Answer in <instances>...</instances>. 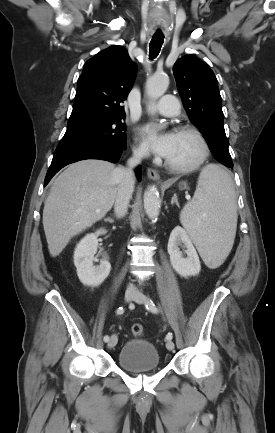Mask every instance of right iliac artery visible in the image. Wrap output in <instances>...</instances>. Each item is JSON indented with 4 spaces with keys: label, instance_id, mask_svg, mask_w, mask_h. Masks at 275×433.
Wrapping results in <instances>:
<instances>
[{
    "label": "right iliac artery",
    "instance_id": "82829eb1",
    "mask_svg": "<svg viewBox=\"0 0 275 433\" xmlns=\"http://www.w3.org/2000/svg\"><path fill=\"white\" fill-rule=\"evenodd\" d=\"M124 311H125L124 307H119V308L116 310L117 314H120V315L123 314ZM103 340H104L105 342H108V341H109V336H108V335H105L104 338H103Z\"/></svg>",
    "mask_w": 275,
    "mask_h": 433
}]
</instances>
